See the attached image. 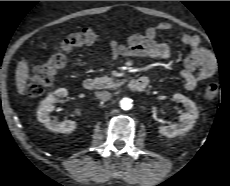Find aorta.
I'll list each match as a JSON object with an SVG mask.
<instances>
[{
	"mask_svg": "<svg viewBox=\"0 0 230 186\" xmlns=\"http://www.w3.org/2000/svg\"><path fill=\"white\" fill-rule=\"evenodd\" d=\"M132 103H133L132 99H130V98H123L120 101V107L123 110H130L132 108V106H133Z\"/></svg>",
	"mask_w": 230,
	"mask_h": 186,
	"instance_id": "obj_1",
	"label": "aorta"
}]
</instances>
